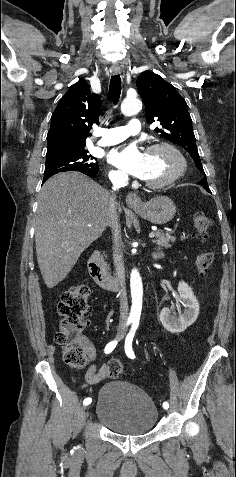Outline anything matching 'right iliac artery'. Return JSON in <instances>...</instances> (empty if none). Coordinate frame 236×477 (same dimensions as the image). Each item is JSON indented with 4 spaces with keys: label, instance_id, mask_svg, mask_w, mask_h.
Here are the masks:
<instances>
[{
    "label": "right iliac artery",
    "instance_id": "obj_1",
    "mask_svg": "<svg viewBox=\"0 0 236 477\" xmlns=\"http://www.w3.org/2000/svg\"><path fill=\"white\" fill-rule=\"evenodd\" d=\"M130 323H131V322H128L127 325H129ZM117 344H118V340H117V339H116V340H113V341H111V342H109V343L106 345L105 349H104L105 354L111 353V352L114 350V348L116 347ZM91 402H92V399H91L90 397H87V398L84 399L83 405H84V406H87V405H89Z\"/></svg>",
    "mask_w": 236,
    "mask_h": 477
}]
</instances>
